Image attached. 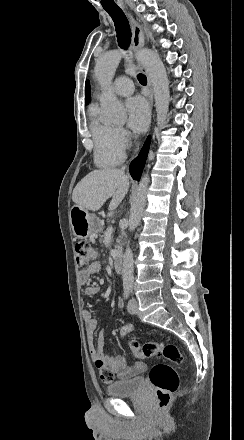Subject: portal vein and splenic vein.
<instances>
[{"mask_svg": "<svg viewBox=\"0 0 244 440\" xmlns=\"http://www.w3.org/2000/svg\"><path fill=\"white\" fill-rule=\"evenodd\" d=\"M113 228H108V232H112Z\"/></svg>", "mask_w": 244, "mask_h": 440, "instance_id": "obj_1", "label": "portal vein and splenic vein"}]
</instances>
